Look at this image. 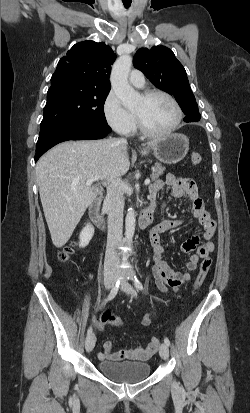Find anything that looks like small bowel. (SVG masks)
I'll use <instances>...</instances> for the list:
<instances>
[{"label":"small bowel","mask_w":250,"mask_h":413,"mask_svg":"<svg viewBox=\"0 0 250 413\" xmlns=\"http://www.w3.org/2000/svg\"><path fill=\"white\" fill-rule=\"evenodd\" d=\"M171 187V196L173 198H180L184 195L187 197L188 205L193 211V216L199 221L202 226L201 237L203 244H199L200 236L196 235L188 239L181 245V250L185 253L193 252L185 266V271H174L164 260V248L160 241V234L171 229L178 228L184 224L183 219H166L163 215L160 216L159 222L153 227L150 232V241L153 247V267L152 272L155 279V283L161 292H168L169 290L177 291L183 284L191 280V272L195 271L198 267V263L201 258L209 256L214 251L215 245L213 241L215 233V222L210 218L207 213L202 199L198 196L195 183L190 178L184 176H175L173 174H167L164 180L155 181L149 190L150 199L152 202L151 209H155L157 206V196L159 191L164 187ZM153 315L151 313L146 314L142 323L149 325L151 323ZM102 323L99 324V328H103ZM103 352L98 353L99 360H139L146 361L150 359L157 348L152 347L150 344L146 347H137L133 349H125L119 351H113L112 343L106 341L103 344Z\"/></svg>","instance_id":"obj_1"}]
</instances>
